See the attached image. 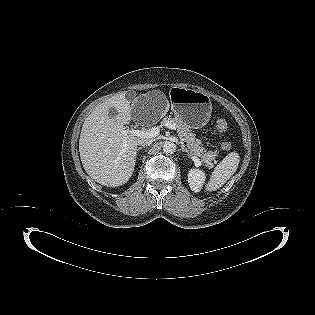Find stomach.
Here are the masks:
<instances>
[{
	"label": "stomach",
	"instance_id": "obj_1",
	"mask_svg": "<svg viewBox=\"0 0 315 315\" xmlns=\"http://www.w3.org/2000/svg\"><path fill=\"white\" fill-rule=\"evenodd\" d=\"M169 97L173 113L189 128H202L209 121L212 103L205 92L185 87H172Z\"/></svg>",
	"mask_w": 315,
	"mask_h": 315
}]
</instances>
